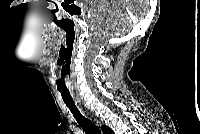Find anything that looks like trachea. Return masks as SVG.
Returning <instances> with one entry per match:
<instances>
[{"label": "trachea", "instance_id": "1", "mask_svg": "<svg viewBox=\"0 0 200 134\" xmlns=\"http://www.w3.org/2000/svg\"><path fill=\"white\" fill-rule=\"evenodd\" d=\"M65 104L72 112L74 118L77 120L78 124L82 127L86 134H100L97 126L93 124L90 120L85 118L77 109L74 102L65 101Z\"/></svg>", "mask_w": 200, "mask_h": 134}]
</instances>
